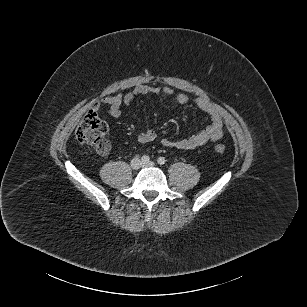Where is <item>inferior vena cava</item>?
Here are the masks:
<instances>
[{
	"label": "inferior vena cava",
	"instance_id": "inferior-vena-cava-1",
	"mask_svg": "<svg viewBox=\"0 0 307 307\" xmlns=\"http://www.w3.org/2000/svg\"><path fill=\"white\" fill-rule=\"evenodd\" d=\"M132 164H133V166L138 167V166H140L141 161H140V159L135 158V159H133Z\"/></svg>",
	"mask_w": 307,
	"mask_h": 307
}]
</instances>
